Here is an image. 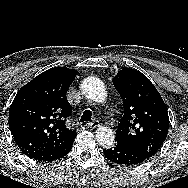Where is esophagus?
I'll list each match as a JSON object with an SVG mask.
<instances>
[{
    "mask_svg": "<svg viewBox=\"0 0 188 188\" xmlns=\"http://www.w3.org/2000/svg\"><path fill=\"white\" fill-rule=\"evenodd\" d=\"M99 125H100L99 121L88 122L86 124V126L90 128H97Z\"/></svg>",
    "mask_w": 188,
    "mask_h": 188,
    "instance_id": "1",
    "label": "esophagus"
}]
</instances>
